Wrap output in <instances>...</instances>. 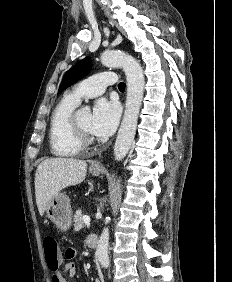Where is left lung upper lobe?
<instances>
[{
	"label": "left lung upper lobe",
	"instance_id": "1",
	"mask_svg": "<svg viewBox=\"0 0 232 282\" xmlns=\"http://www.w3.org/2000/svg\"><path fill=\"white\" fill-rule=\"evenodd\" d=\"M92 63L90 57L79 61L74 67L68 70L62 80L58 94L62 93L71 84L85 77L91 70Z\"/></svg>",
	"mask_w": 232,
	"mask_h": 282
}]
</instances>
